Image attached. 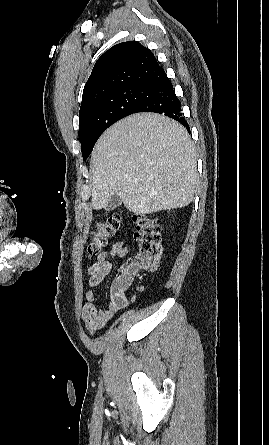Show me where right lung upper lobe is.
I'll return each instance as SVG.
<instances>
[{"label": "right lung upper lobe", "instance_id": "1", "mask_svg": "<svg viewBox=\"0 0 269 445\" xmlns=\"http://www.w3.org/2000/svg\"><path fill=\"white\" fill-rule=\"evenodd\" d=\"M165 74L153 53L139 42L117 44L95 63L84 86L81 107L114 89L138 85L154 86Z\"/></svg>", "mask_w": 269, "mask_h": 445}]
</instances>
